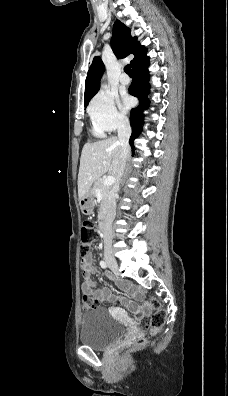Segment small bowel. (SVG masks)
<instances>
[{
    "label": "small bowel",
    "mask_w": 228,
    "mask_h": 396,
    "mask_svg": "<svg viewBox=\"0 0 228 396\" xmlns=\"http://www.w3.org/2000/svg\"><path fill=\"white\" fill-rule=\"evenodd\" d=\"M81 268L83 271V283L81 285L83 294L91 295L101 302L113 303L119 301L128 310L135 314L149 313L150 305L142 299L141 293L138 292V290L129 282H120L119 286L123 290L127 291L132 296L133 300L116 296L111 289L107 287L95 289V282L91 279V275L94 274L97 269L93 264V258L91 255L81 261Z\"/></svg>",
    "instance_id": "c3829d8e"
}]
</instances>
